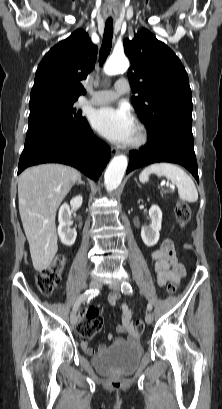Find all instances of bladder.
I'll return each mask as SVG.
<instances>
[{
	"mask_svg": "<svg viewBox=\"0 0 222 409\" xmlns=\"http://www.w3.org/2000/svg\"><path fill=\"white\" fill-rule=\"evenodd\" d=\"M144 349L139 343L126 342L109 347L92 358L93 367L104 374L127 375L134 372Z\"/></svg>",
	"mask_w": 222,
	"mask_h": 409,
	"instance_id": "obj_1",
	"label": "bladder"
}]
</instances>
